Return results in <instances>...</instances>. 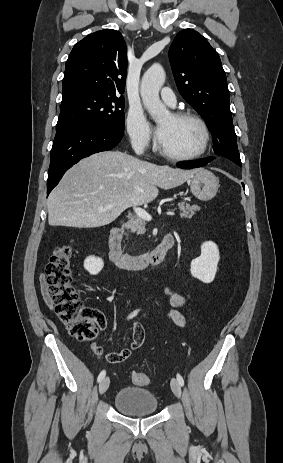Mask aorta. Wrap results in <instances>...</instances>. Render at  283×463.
I'll list each match as a JSON object with an SVG mask.
<instances>
[{
  "label": "aorta",
  "mask_w": 283,
  "mask_h": 463,
  "mask_svg": "<svg viewBox=\"0 0 283 463\" xmlns=\"http://www.w3.org/2000/svg\"><path fill=\"white\" fill-rule=\"evenodd\" d=\"M165 82V71L160 64H153L143 75L140 94L151 117L160 121L168 114V110L159 98V91Z\"/></svg>",
  "instance_id": "762f6f07"
}]
</instances>
